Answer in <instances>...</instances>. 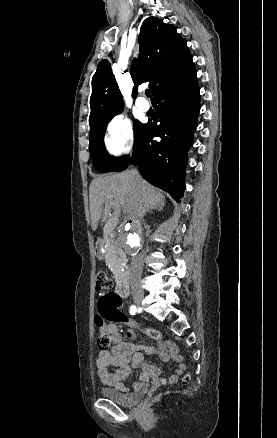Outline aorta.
I'll list each match as a JSON object with an SVG mask.
<instances>
[{
	"mask_svg": "<svg viewBox=\"0 0 277 438\" xmlns=\"http://www.w3.org/2000/svg\"><path fill=\"white\" fill-rule=\"evenodd\" d=\"M144 232L139 221L123 225L118 233V245L125 252L136 253L143 244Z\"/></svg>",
	"mask_w": 277,
	"mask_h": 438,
	"instance_id": "aorta-1",
	"label": "aorta"
}]
</instances>
